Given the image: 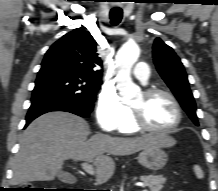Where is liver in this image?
<instances>
[{
	"instance_id": "obj_1",
	"label": "liver",
	"mask_w": 218,
	"mask_h": 191,
	"mask_svg": "<svg viewBox=\"0 0 218 191\" xmlns=\"http://www.w3.org/2000/svg\"><path fill=\"white\" fill-rule=\"evenodd\" d=\"M90 134L88 123L73 114L50 112L34 120L23 132L20 149L14 159L12 184L53 180L64 160L92 162L96 181H108L115 171L109 156L130 155L151 146L172 147L174 138L166 134H148L121 138L106 134Z\"/></svg>"
}]
</instances>
